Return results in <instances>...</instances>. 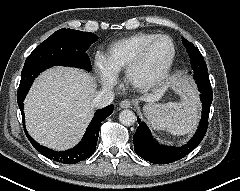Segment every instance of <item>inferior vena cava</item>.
<instances>
[{
	"instance_id": "602c4592",
	"label": "inferior vena cava",
	"mask_w": 240,
	"mask_h": 191,
	"mask_svg": "<svg viewBox=\"0 0 240 191\" xmlns=\"http://www.w3.org/2000/svg\"><path fill=\"white\" fill-rule=\"evenodd\" d=\"M114 100V93L111 90H101L97 93L93 100V107L104 108L112 103Z\"/></svg>"
}]
</instances>
